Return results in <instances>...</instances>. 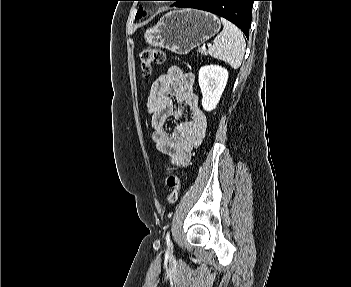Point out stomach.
Returning <instances> with one entry per match:
<instances>
[{
    "label": "stomach",
    "mask_w": 351,
    "mask_h": 287,
    "mask_svg": "<svg viewBox=\"0 0 351 287\" xmlns=\"http://www.w3.org/2000/svg\"><path fill=\"white\" fill-rule=\"evenodd\" d=\"M220 28L217 16L196 9H183L166 13L155 26L146 30L144 38L150 46L185 55L215 36Z\"/></svg>",
    "instance_id": "1"
}]
</instances>
